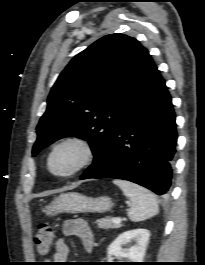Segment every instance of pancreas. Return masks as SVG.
<instances>
[{
    "label": "pancreas",
    "instance_id": "obj_1",
    "mask_svg": "<svg viewBox=\"0 0 205 265\" xmlns=\"http://www.w3.org/2000/svg\"><path fill=\"white\" fill-rule=\"evenodd\" d=\"M96 223H97V226L99 228H102V229H109V228L116 229V228L122 227V224H120V223H113L112 222V219L109 218V217L98 219L96 221Z\"/></svg>",
    "mask_w": 205,
    "mask_h": 265
}]
</instances>
